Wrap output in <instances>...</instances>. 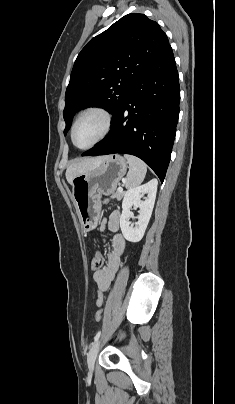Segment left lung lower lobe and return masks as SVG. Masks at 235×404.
I'll return each instance as SVG.
<instances>
[{
    "label": "left lung lower lobe",
    "instance_id": "obj_1",
    "mask_svg": "<svg viewBox=\"0 0 235 404\" xmlns=\"http://www.w3.org/2000/svg\"><path fill=\"white\" fill-rule=\"evenodd\" d=\"M179 100L178 72L169 45L134 84L112 119L110 133L82 156L135 155L163 182L176 133Z\"/></svg>",
    "mask_w": 235,
    "mask_h": 404
}]
</instances>
